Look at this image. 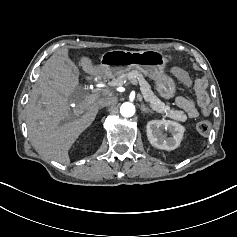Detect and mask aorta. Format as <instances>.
I'll return each instance as SVG.
<instances>
[{"mask_svg":"<svg viewBox=\"0 0 237 237\" xmlns=\"http://www.w3.org/2000/svg\"><path fill=\"white\" fill-rule=\"evenodd\" d=\"M120 114L125 118H130L135 114V106L129 102L123 103L120 107Z\"/></svg>","mask_w":237,"mask_h":237,"instance_id":"obj_1","label":"aorta"}]
</instances>
